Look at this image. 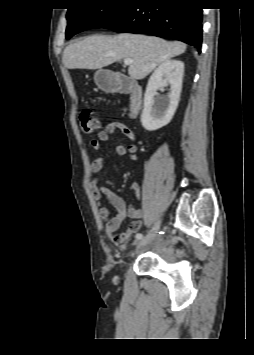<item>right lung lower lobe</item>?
I'll list each match as a JSON object with an SVG mask.
<instances>
[{"mask_svg": "<svg viewBox=\"0 0 254 355\" xmlns=\"http://www.w3.org/2000/svg\"><path fill=\"white\" fill-rule=\"evenodd\" d=\"M198 0H136L102 28L173 38L201 50L202 8Z\"/></svg>", "mask_w": 254, "mask_h": 355, "instance_id": "obj_1", "label": "right lung lower lobe"}]
</instances>
